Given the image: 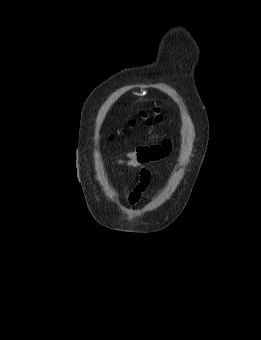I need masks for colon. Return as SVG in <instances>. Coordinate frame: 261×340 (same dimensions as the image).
<instances>
[{
	"label": "colon",
	"instance_id": "5ec220e1",
	"mask_svg": "<svg viewBox=\"0 0 261 340\" xmlns=\"http://www.w3.org/2000/svg\"><path fill=\"white\" fill-rule=\"evenodd\" d=\"M155 112H156V115H155V120L156 121H160L161 120V115L159 114V109H155ZM140 115L142 117H145L146 118V122L147 124H150L152 122V119L151 118H147V115L145 114V112H141ZM134 120L130 121V125L132 126L134 124Z\"/></svg>",
	"mask_w": 261,
	"mask_h": 340
}]
</instances>
